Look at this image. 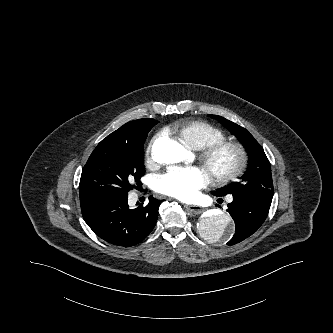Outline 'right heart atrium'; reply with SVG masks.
Masks as SVG:
<instances>
[{
  "label": "right heart atrium",
  "instance_id": "right-heart-atrium-1",
  "mask_svg": "<svg viewBox=\"0 0 333 333\" xmlns=\"http://www.w3.org/2000/svg\"><path fill=\"white\" fill-rule=\"evenodd\" d=\"M153 141L150 142L149 146L147 147V157L150 158V151H151V146H152Z\"/></svg>",
  "mask_w": 333,
  "mask_h": 333
}]
</instances>
